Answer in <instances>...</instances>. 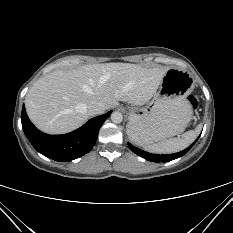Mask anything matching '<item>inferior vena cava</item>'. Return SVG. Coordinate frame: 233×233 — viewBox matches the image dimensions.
<instances>
[{"instance_id": "602c4592", "label": "inferior vena cava", "mask_w": 233, "mask_h": 233, "mask_svg": "<svg viewBox=\"0 0 233 233\" xmlns=\"http://www.w3.org/2000/svg\"><path fill=\"white\" fill-rule=\"evenodd\" d=\"M87 108H88V112L91 115L102 114V113H104V111L106 109L104 104L99 102V101H92L91 103L88 104Z\"/></svg>"}]
</instances>
